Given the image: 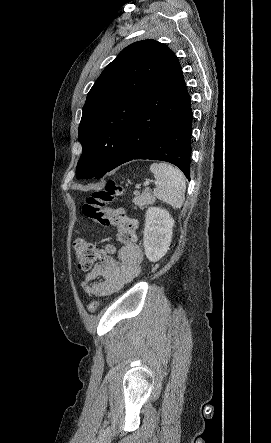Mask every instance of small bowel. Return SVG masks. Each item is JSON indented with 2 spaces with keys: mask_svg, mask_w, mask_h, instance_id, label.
Returning a JSON list of instances; mask_svg holds the SVG:
<instances>
[{
  "mask_svg": "<svg viewBox=\"0 0 271 443\" xmlns=\"http://www.w3.org/2000/svg\"><path fill=\"white\" fill-rule=\"evenodd\" d=\"M142 251L136 244L105 246V255L82 280L85 291L96 297H107L132 281L139 273Z\"/></svg>",
  "mask_w": 271,
  "mask_h": 443,
  "instance_id": "small-bowel-1",
  "label": "small bowel"
}]
</instances>
